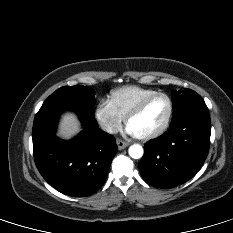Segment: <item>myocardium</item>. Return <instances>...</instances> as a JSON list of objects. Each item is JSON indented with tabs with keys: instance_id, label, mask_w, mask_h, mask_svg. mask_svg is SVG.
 <instances>
[{
	"instance_id": "1",
	"label": "myocardium",
	"mask_w": 233,
	"mask_h": 233,
	"mask_svg": "<svg viewBox=\"0 0 233 233\" xmlns=\"http://www.w3.org/2000/svg\"><path fill=\"white\" fill-rule=\"evenodd\" d=\"M158 97H164L167 100V103H168L167 117H166L163 125L155 132H152V133L146 134V135H136V137L140 140H143V141L153 140V139L160 137L161 135H163L167 131V129L170 126V123H171V120L173 117V112H174V105H173V101H172L171 97L166 93L156 92V93L146 97L145 99H143L140 103H138L125 117V124L128 126L131 119L138 116L154 99H156Z\"/></svg>"
}]
</instances>
